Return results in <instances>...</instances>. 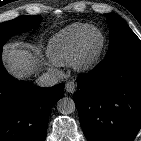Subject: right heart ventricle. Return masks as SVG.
Here are the masks:
<instances>
[{
  "label": "right heart ventricle",
  "instance_id": "e07e8e85",
  "mask_svg": "<svg viewBox=\"0 0 141 141\" xmlns=\"http://www.w3.org/2000/svg\"><path fill=\"white\" fill-rule=\"evenodd\" d=\"M92 26L87 23L76 22L56 33L47 46V54L57 65L73 63L84 34Z\"/></svg>",
  "mask_w": 141,
  "mask_h": 141
}]
</instances>
